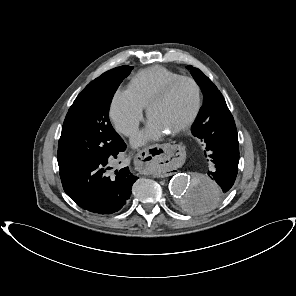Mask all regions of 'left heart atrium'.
<instances>
[{
	"instance_id": "39dd6f15",
	"label": "left heart atrium",
	"mask_w": 296,
	"mask_h": 296,
	"mask_svg": "<svg viewBox=\"0 0 296 296\" xmlns=\"http://www.w3.org/2000/svg\"><path fill=\"white\" fill-rule=\"evenodd\" d=\"M167 132L164 131L159 125L149 119L147 128L139 133L133 139V144L135 146H141L151 140H156L162 137Z\"/></svg>"
}]
</instances>
